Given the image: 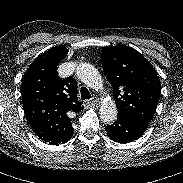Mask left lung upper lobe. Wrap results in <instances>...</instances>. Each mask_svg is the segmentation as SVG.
Masks as SVG:
<instances>
[{
    "mask_svg": "<svg viewBox=\"0 0 183 183\" xmlns=\"http://www.w3.org/2000/svg\"><path fill=\"white\" fill-rule=\"evenodd\" d=\"M102 67L113 87L118 115L149 124L160 98L161 83L153 66L125 45L103 49Z\"/></svg>",
    "mask_w": 183,
    "mask_h": 183,
    "instance_id": "1",
    "label": "left lung upper lobe"
}]
</instances>
